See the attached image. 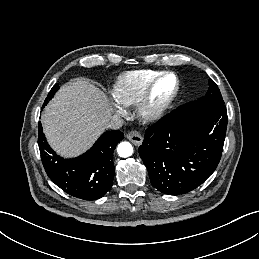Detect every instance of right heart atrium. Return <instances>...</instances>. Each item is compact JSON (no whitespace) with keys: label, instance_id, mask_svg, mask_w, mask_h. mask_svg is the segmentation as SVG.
Masks as SVG:
<instances>
[{"label":"right heart atrium","instance_id":"right-heart-atrium-1","mask_svg":"<svg viewBox=\"0 0 259 259\" xmlns=\"http://www.w3.org/2000/svg\"><path fill=\"white\" fill-rule=\"evenodd\" d=\"M115 109H116L117 113L120 115L125 113V107L118 102L115 103Z\"/></svg>","mask_w":259,"mask_h":259}]
</instances>
